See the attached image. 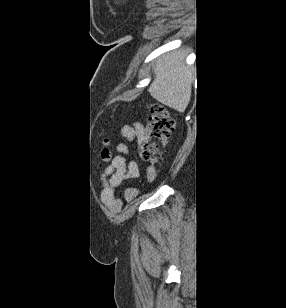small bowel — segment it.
Wrapping results in <instances>:
<instances>
[{
	"instance_id": "obj_1",
	"label": "small bowel",
	"mask_w": 286,
	"mask_h": 308,
	"mask_svg": "<svg viewBox=\"0 0 286 308\" xmlns=\"http://www.w3.org/2000/svg\"><path fill=\"white\" fill-rule=\"evenodd\" d=\"M123 141L118 143L117 150L119 154L114 158L110 167V185L113 189L118 187L124 180L135 179L140 176L139 165L135 161H129L127 159L128 146L127 142L137 141L139 142L143 136V126L136 122L128 124L122 128ZM146 177L150 180L155 178V170L151 168L146 169ZM137 193L135 188H129L125 192V200H131Z\"/></svg>"
}]
</instances>
